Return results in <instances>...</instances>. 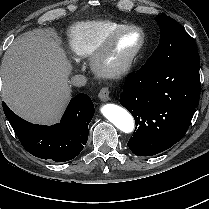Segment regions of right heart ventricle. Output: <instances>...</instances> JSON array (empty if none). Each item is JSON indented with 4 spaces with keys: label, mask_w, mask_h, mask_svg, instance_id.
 Instances as JSON below:
<instances>
[{
    "label": "right heart ventricle",
    "mask_w": 209,
    "mask_h": 209,
    "mask_svg": "<svg viewBox=\"0 0 209 209\" xmlns=\"http://www.w3.org/2000/svg\"><path fill=\"white\" fill-rule=\"evenodd\" d=\"M130 24L114 20H91L72 25L66 33V43L75 58L93 56L106 37L116 28Z\"/></svg>",
    "instance_id": "1"
}]
</instances>
